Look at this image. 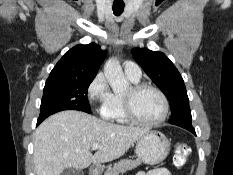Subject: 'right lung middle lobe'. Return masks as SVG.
<instances>
[{
  "instance_id": "dd1d6c3e",
  "label": "right lung middle lobe",
  "mask_w": 233,
  "mask_h": 175,
  "mask_svg": "<svg viewBox=\"0 0 233 175\" xmlns=\"http://www.w3.org/2000/svg\"><path fill=\"white\" fill-rule=\"evenodd\" d=\"M94 77L47 79L38 119L63 110L91 113L87 91Z\"/></svg>"
}]
</instances>
